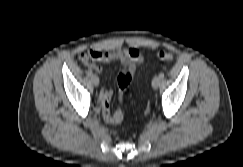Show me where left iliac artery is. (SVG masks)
Returning a JSON list of instances; mask_svg holds the SVG:
<instances>
[{
    "instance_id": "obj_1",
    "label": "left iliac artery",
    "mask_w": 243,
    "mask_h": 167,
    "mask_svg": "<svg viewBox=\"0 0 243 167\" xmlns=\"http://www.w3.org/2000/svg\"><path fill=\"white\" fill-rule=\"evenodd\" d=\"M159 77H160L161 79H163V78H164V73L161 72V73L159 74Z\"/></svg>"
}]
</instances>
